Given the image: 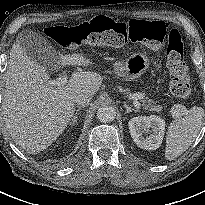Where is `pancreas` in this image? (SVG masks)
I'll return each mask as SVG.
<instances>
[{
    "label": "pancreas",
    "mask_w": 205,
    "mask_h": 205,
    "mask_svg": "<svg viewBox=\"0 0 205 205\" xmlns=\"http://www.w3.org/2000/svg\"><path fill=\"white\" fill-rule=\"evenodd\" d=\"M139 97L143 98L144 95L140 94ZM144 108L149 110V111H154V112L159 113V112H161L163 107L159 104H156V102L154 100L146 98V100H144Z\"/></svg>",
    "instance_id": "cf45deb5"
}]
</instances>
